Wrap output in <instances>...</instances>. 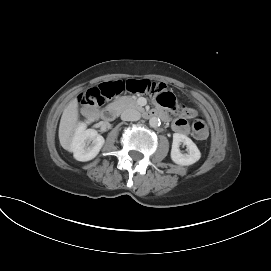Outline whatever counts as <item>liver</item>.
Here are the masks:
<instances>
[{
  "mask_svg": "<svg viewBox=\"0 0 271 271\" xmlns=\"http://www.w3.org/2000/svg\"><path fill=\"white\" fill-rule=\"evenodd\" d=\"M78 101L73 99L65 108L59 125V141L65 150L71 149L75 130L78 126Z\"/></svg>",
  "mask_w": 271,
  "mask_h": 271,
  "instance_id": "liver-1",
  "label": "liver"
}]
</instances>
